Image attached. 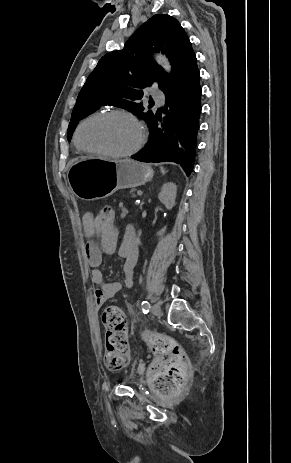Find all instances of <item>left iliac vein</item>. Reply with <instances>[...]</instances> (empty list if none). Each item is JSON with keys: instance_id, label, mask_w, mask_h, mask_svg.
<instances>
[{"instance_id": "left-iliac-vein-1", "label": "left iliac vein", "mask_w": 291, "mask_h": 463, "mask_svg": "<svg viewBox=\"0 0 291 463\" xmlns=\"http://www.w3.org/2000/svg\"><path fill=\"white\" fill-rule=\"evenodd\" d=\"M151 312L154 316L160 317L161 315V307L158 303L153 304L151 307Z\"/></svg>"}]
</instances>
